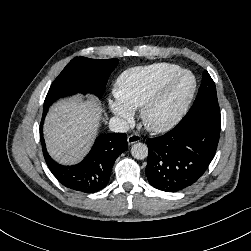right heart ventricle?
Returning <instances> with one entry per match:
<instances>
[{
	"label": "right heart ventricle",
	"instance_id": "right-heart-ventricle-1",
	"mask_svg": "<svg viewBox=\"0 0 251 251\" xmlns=\"http://www.w3.org/2000/svg\"><path fill=\"white\" fill-rule=\"evenodd\" d=\"M182 70L165 62L127 69L116 80L115 95L132 110L139 109L163 82Z\"/></svg>",
	"mask_w": 251,
	"mask_h": 251
}]
</instances>
